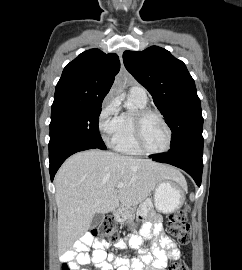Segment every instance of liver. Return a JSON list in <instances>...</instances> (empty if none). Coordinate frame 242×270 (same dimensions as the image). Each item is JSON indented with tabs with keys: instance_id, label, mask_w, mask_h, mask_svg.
<instances>
[{
	"instance_id": "liver-1",
	"label": "liver",
	"mask_w": 242,
	"mask_h": 270,
	"mask_svg": "<svg viewBox=\"0 0 242 270\" xmlns=\"http://www.w3.org/2000/svg\"><path fill=\"white\" fill-rule=\"evenodd\" d=\"M164 180L186 184L178 170L151 160L101 150L72 155L55 176L59 249L82 237L96 213H108L120 204L128 210ZM119 182L124 186L117 190Z\"/></svg>"
}]
</instances>
